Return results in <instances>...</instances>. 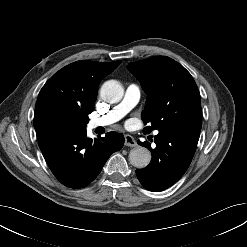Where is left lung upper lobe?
<instances>
[{"mask_svg": "<svg viewBox=\"0 0 247 247\" xmlns=\"http://www.w3.org/2000/svg\"><path fill=\"white\" fill-rule=\"evenodd\" d=\"M148 94L141 114L150 126L144 133L161 131L173 124L201 130V103L198 87L191 74L178 62L154 56L127 65Z\"/></svg>", "mask_w": 247, "mask_h": 247, "instance_id": "obj_1", "label": "left lung upper lobe"}]
</instances>
